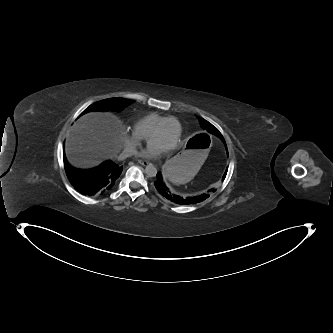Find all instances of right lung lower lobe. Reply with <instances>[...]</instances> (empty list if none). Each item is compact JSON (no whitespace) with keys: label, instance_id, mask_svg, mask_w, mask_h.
<instances>
[{"label":"right lung lower lobe","instance_id":"1","mask_svg":"<svg viewBox=\"0 0 333 333\" xmlns=\"http://www.w3.org/2000/svg\"><path fill=\"white\" fill-rule=\"evenodd\" d=\"M67 177L76 190L83 195H102L117 183L122 166L108 160L101 165L82 170L72 167L64 158Z\"/></svg>","mask_w":333,"mask_h":333}]
</instances>
